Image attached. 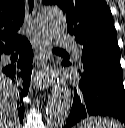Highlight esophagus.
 <instances>
[{
	"label": "esophagus",
	"mask_w": 125,
	"mask_h": 128,
	"mask_svg": "<svg viewBox=\"0 0 125 128\" xmlns=\"http://www.w3.org/2000/svg\"><path fill=\"white\" fill-rule=\"evenodd\" d=\"M26 18L30 32L32 33V44L38 58V72L35 77V85L40 90H47L52 82L46 76V70L51 68V52L48 40L41 33L36 19V0H26Z\"/></svg>",
	"instance_id": "34e87169"
}]
</instances>
